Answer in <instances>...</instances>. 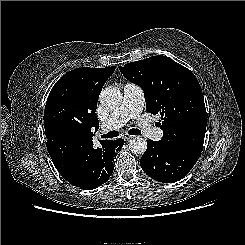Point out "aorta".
<instances>
[{"mask_svg":"<svg viewBox=\"0 0 245 245\" xmlns=\"http://www.w3.org/2000/svg\"><path fill=\"white\" fill-rule=\"evenodd\" d=\"M99 100L103 106L115 109L122 102V94L117 88L106 87L101 91ZM128 146L131 152L143 154L147 149V141L140 136H136L129 141Z\"/></svg>","mask_w":245,"mask_h":245,"instance_id":"1","label":"aorta"}]
</instances>
